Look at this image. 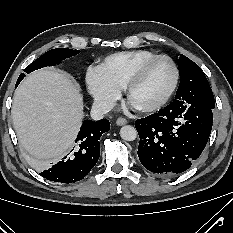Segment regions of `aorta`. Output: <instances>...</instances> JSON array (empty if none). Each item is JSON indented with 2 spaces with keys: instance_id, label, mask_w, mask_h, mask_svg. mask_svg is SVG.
Listing matches in <instances>:
<instances>
[{
  "instance_id": "1",
  "label": "aorta",
  "mask_w": 233,
  "mask_h": 233,
  "mask_svg": "<svg viewBox=\"0 0 233 233\" xmlns=\"http://www.w3.org/2000/svg\"><path fill=\"white\" fill-rule=\"evenodd\" d=\"M120 136L125 141H133L137 138V130L131 125H125L120 129Z\"/></svg>"
}]
</instances>
